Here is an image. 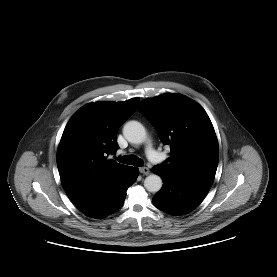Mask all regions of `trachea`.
<instances>
[{"instance_id":"obj_1","label":"trachea","mask_w":277,"mask_h":277,"mask_svg":"<svg viewBox=\"0 0 277 277\" xmlns=\"http://www.w3.org/2000/svg\"><path fill=\"white\" fill-rule=\"evenodd\" d=\"M117 160L120 163L134 165V166H138V167H141L143 165V161L139 157L134 156V155H127L122 158L118 157Z\"/></svg>"}]
</instances>
